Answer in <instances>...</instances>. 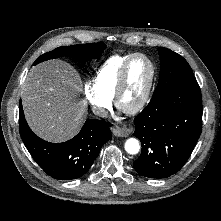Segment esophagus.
Here are the masks:
<instances>
[{
  "mask_svg": "<svg viewBox=\"0 0 221 221\" xmlns=\"http://www.w3.org/2000/svg\"><path fill=\"white\" fill-rule=\"evenodd\" d=\"M111 130H112V133L118 137H126L129 135V132L127 130L122 129L118 126H112Z\"/></svg>",
  "mask_w": 221,
  "mask_h": 221,
  "instance_id": "1",
  "label": "esophagus"
}]
</instances>
